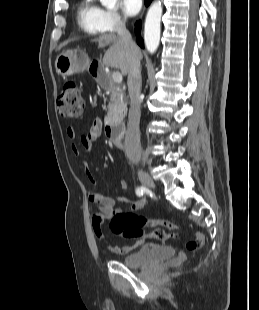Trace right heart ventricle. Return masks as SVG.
I'll return each mask as SVG.
<instances>
[{"instance_id":"obj_1","label":"right heart ventricle","mask_w":259,"mask_h":310,"mask_svg":"<svg viewBox=\"0 0 259 310\" xmlns=\"http://www.w3.org/2000/svg\"><path fill=\"white\" fill-rule=\"evenodd\" d=\"M101 9L95 0H81L78 13V26L86 33L97 34L105 31L101 25Z\"/></svg>"}]
</instances>
